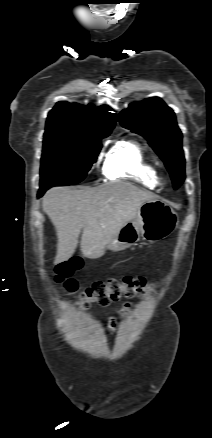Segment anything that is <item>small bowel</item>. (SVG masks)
<instances>
[{
	"label": "small bowel",
	"mask_w": 212,
	"mask_h": 438,
	"mask_svg": "<svg viewBox=\"0 0 212 438\" xmlns=\"http://www.w3.org/2000/svg\"><path fill=\"white\" fill-rule=\"evenodd\" d=\"M129 307H130L129 304H127V305L125 306L126 309H128ZM110 324H111L112 327H114V324H115V323H114L113 320H111V321H110Z\"/></svg>",
	"instance_id": "obj_1"
}]
</instances>
